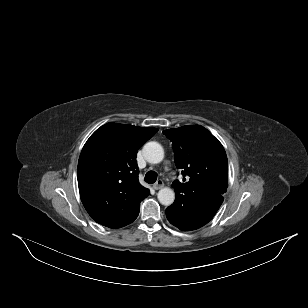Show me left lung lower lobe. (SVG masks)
Listing matches in <instances>:
<instances>
[{"label": "left lung lower lobe", "instance_id": "1", "mask_svg": "<svg viewBox=\"0 0 308 308\" xmlns=\"http://www.w3.org/2000/svg\"><path fill=\"white\" fill-rule=\"evenodd\" d=\"M222 202L223 198H218L184 211H179L169 206L166 209V217L172 225L180 230H196L207 224L214 217Z\"/></svg>", "mask_w": 308, "mask_h": 308}]
</instances>
